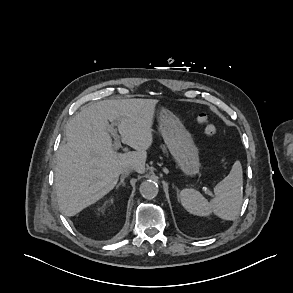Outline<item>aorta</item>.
<instances>
[{"label": "aorta", "mask_w": 293, "mask_h": 293, "mask_svg": "<svg viewBox=\"0 0 293 293\" xmlns=\"http://www.w3.org/2000/svg\"><path fill=\"white\" fill-rule=\"evenodd\" d=\"M140 194L146 199H153L158 194V185L153 180H145L139 188Z\"/></svg>", "instance_id": "aorta-1"}]
</instances>
